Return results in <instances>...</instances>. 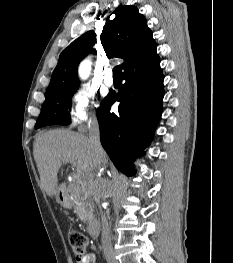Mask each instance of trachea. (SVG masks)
<instances>
[{"instance_id":"1","label":"trachea","mask_w":233,"mask_h":263,"mask_svg":"<svg viewBox=\"0 0 233 263\" xmlns=\"http://www.w3.org/2000/svg\"><path fill=\"white\" fill-rule=\"evenodd\" d=\"M113 78L114 79H121L122 78V67L120 65L114 67V69H113Z\"/></svg>"}]
</instances>
